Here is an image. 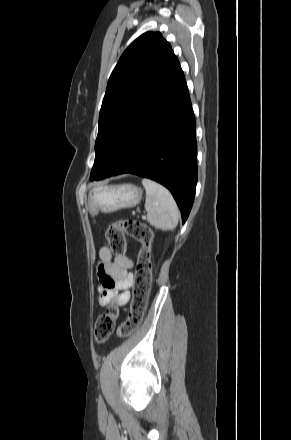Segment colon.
Segmentation results:
<instances>
[{
    "instance_id": "5ec220e1",
    "label": "colon",
    "mask_w": 291,
    "mask_h": 440,
    "mask_svg": "<svg viewBox=\"0 0 291 440\" xmlns=\"http://www.w3.org/2000/svg\"><path fill=\"white\" fill-rule=\"evenodd\" d=\"M125 232L139 241L142 246L135 268V285L131 309L128 319L118 328L117 333L120 337L131 335L140 326L152 286L151 231L142 223L129 219H119L111 223L106 231V237L115 256H124L126 253ZM107 286L109 288L114 287V282L109 280ZM117 315L118 305L115 301H111L105 312L96 319L94 325V338L98 343H104L110 337Z\"/></svg>"
}]
</instances>
